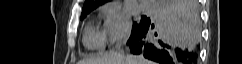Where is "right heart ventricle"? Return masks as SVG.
<instances>
[{"mask_svg": "<svg viewBox=\"0 0 242 64\" xmlns=\"http://www.w3.org/2000/svg\"><path fill=\"white\" fill-rule=\"evenodd\" d=\"M83 43L90 50L102 49L104 46L103 34L94 25H88L83 35Z\"/></svg>", "mask_w": 242, "mask_h": 64, "instance_id": "obj_1", "label": "right heart ventricle"}]
</instances>
